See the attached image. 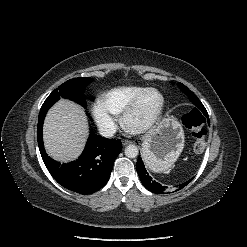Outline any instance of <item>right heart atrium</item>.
<instances>
[{
    "mask_svg": "<svg viewBox=\"0 0 247 247\" xmlns=\"http://www.w3.org/2000/svg\"><path fill=\"white\" fill-rule=\"evenodd\" d=\"M91 111L101 132L106 136L112 135L117 127V120L114 115L100 101L93 103Z\"/></svg>",
    "mask_w": 247,
    "mask_h": 247,
    "instance_id": "1",
    "label": "right heart atrium"
}]
</instances>
